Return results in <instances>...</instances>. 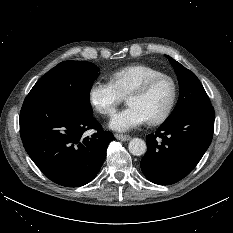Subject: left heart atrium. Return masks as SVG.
<instances>
[{
    "mask_svg": "<svg viewBox=\"0 0 233 233\" xmlns=\"http://www.w3.org/2000/svg\"><path fill=\"white\" fill-rule=\"evenodd\" d=\"M147 121L146 116L138 107L128 105L112 117L109 126L113 130L124 132L139 127Z\"/></svg>",
    "mask_w": 233,
    "mask_h": 233,
    "instance_id": "left-heart-atrium-1",
    "label": "left heart atrium"
}]
</instances>
